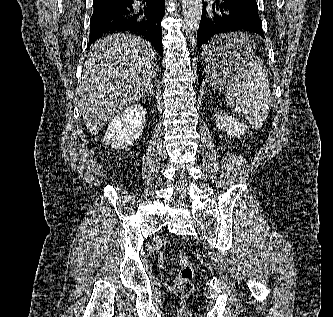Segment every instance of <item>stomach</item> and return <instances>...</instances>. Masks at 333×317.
<instances>
[{
	"mask_svg": "<svg viewBox=\"0 0 333 317\" xmlns=\"http://www.w3.org/2000/svg\"><path fill=\"white\" fill-rule=\"evenodd\" d=\"M213 41H205L201 62H211L204 75L203 88L222 90L234 88V82H266L243 81L242 75L256 69L258 55H254L256 41L251 40L247 29H225V33H212Z\"/></svg>",
	"mask_w": 333,
	"mask_h": 317,
	"instance_id": "stomach-1",
	"label": "stomach"
}]
</instances>
